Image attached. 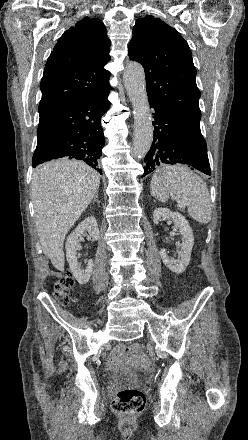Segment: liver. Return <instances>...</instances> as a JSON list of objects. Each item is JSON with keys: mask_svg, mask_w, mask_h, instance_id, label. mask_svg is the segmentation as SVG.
<instances>
[{"mask_svg": "<svg viewBox=\"0 0 248 440\" xmlns=\"http://www.w3.org/2000/svg\"><path fill=\"white\" fill-rule=\"evenodd\" d=\"M99 174L82 161L63 158L39 165L31 190L43 253L64 270L65 236L96 195Z\"/></svg>", "mask_w": 248, "mask_h": 440, "instance_id": "liver-1", "label": "liver"}]
</instances>
